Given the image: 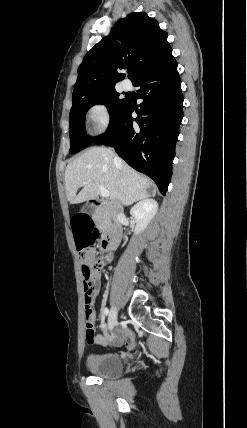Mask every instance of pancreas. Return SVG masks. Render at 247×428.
Wrapping results in <instances>:
<instances>
[{
  "label": "pancreas",
  "instance_id": "pancreas-1",
  "mask_svg": "<svg viewBox=\"0 0 247 428\" xmlns=\"http://www.w3.org/2000/svg\"><path fill=\"white\" fill-rule=\"evenodd\" d=\"M95 221L97 222V224L99 225V227L103 230L107 229L108 227V219L105 218L103 215L99 214L96 216Z\"/></svg>",
  "mask_w": 247,
  "mask_h": 428
}]
</instances>
